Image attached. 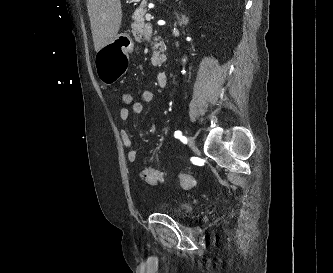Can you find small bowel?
I'll return each mask as SVG.
<instances>
[{
  "label": "small bowel",
  "instance_id": "1",
  "mask_svg": "<svg viewBox=\"0 0 333 273\" xmlns=\"http://www.w3.org/2000/svg\"><path fill=\"white\" fill-rule=\"evenodd\" d=\"M153 92L149 89H144L141 92V101H131V111L134 114H140L143 112L144 104L151 103L153 101ZM130 111L129 109L122 107L118 110V119L125 122L129 119ZM121 139L126 148V157L130 163H136L138 160L137 151L133 148L131 142V135L127 129H121L120 131Z\"/></svg>",
  "mask_w": 333,
  "mask_h": 273
}]
</instances>
